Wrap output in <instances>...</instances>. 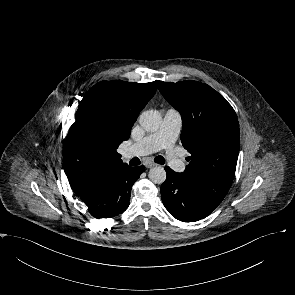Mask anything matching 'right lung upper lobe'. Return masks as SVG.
Listing matches in <instances>:
<instances>
[{
    "mask_svg": "<svg viewBox=\"0 0 295 295\" xmlns=\"http://www.w3.org/2000/svg\"><path fill=\"white\" fill-rule=\"evenodd\" d=\"M117 88L118 96L126 109L125 122L117 129L91 131L85 129L76 118L66 137L64 171L72 190L79 195L97 175L124 165L118 146L130 136V130L140 111L155 94L159 81L135 83L110 81Z\"/></svg>",
    "mask_w": 295,
    "mask_h": 295,
    "instance_id": "cb5924a9",
    "label": "right lung upper lobe"
}]
</instances>
